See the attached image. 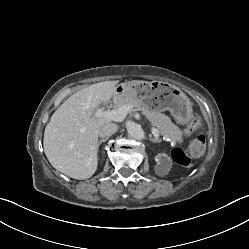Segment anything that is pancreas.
<instances>
[{
	"mask_svg": "<svg viewBox=\"0 0 249 249\" xmlns=\"http://www.w3.org/2000/svg\"><path fill=\"white\" fill-rule=\"evenodd\" d=\"M124 105H131L138 111H141L153 126L157 127L158 132L167 138H170L174 143H182V131L174 125L170 118L163 113L154 111L140 103L131 96L118 97L115 102V108H120Z\"/></svg>",
	"mask_w": 249,
	"mask_h": 249,
	"instance_id": "cf45deb5",
	"label": "pancreas"
}]
</instances>
